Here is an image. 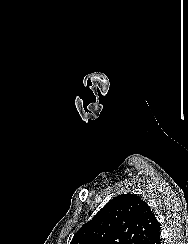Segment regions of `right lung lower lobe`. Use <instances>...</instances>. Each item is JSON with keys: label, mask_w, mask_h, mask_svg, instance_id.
Instances as JSON below:
<instances>
[{"label": "right lung lower lobe", "mask_w": 188, "mask_h": 244, "mask_svg": "<svg viewBox=\"0 0 188 244\" xmlns=\"http://www.w3.org/2000/svg\"><path fill=\"white\" fill-rule=\"evenodd\" d=\"M147 244H161L160 239V228H158L154 234L152 235L151 239L147 242Z\"/></svg>", "instance_id": "right-lung-lower-lobe-1"}]
</instances>
